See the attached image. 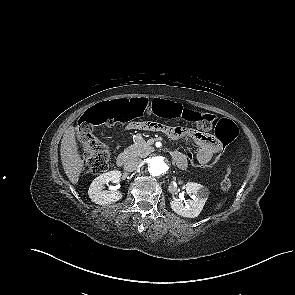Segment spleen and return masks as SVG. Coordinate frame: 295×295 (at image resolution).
I'll return each mask as SVG.
<instances>
[{
  "label": "spleen",
  "instance_id": "3e777b00",
  "mask_svg": "<svg viewBox=\"0 0 295 295\" xmlns=\"http://www.w3.org/2000/svg\"><path fill=\"white\" fill-rule=\"evenodd\" d=\"M222 205H223V204L218 203V204L216 205L215 209H216V210H217V209H220Z\"/></svg>",
  "mask_w": 295,
  "mask_h": 295
}]
</instances>
